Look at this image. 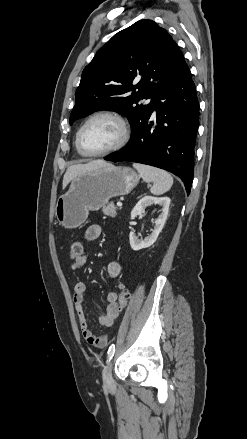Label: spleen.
Masks as SVG:
<instances>
[{
    "mask_svg": "<svg viewBox=\"0 0 247 439\" xmlns=\"http://www.w3.org/2000/svg\"><path fill=\"white\" fill-rule=\"evenodd\" d=\"M133 167L139 172L145 182L153 183L151 193L154 195L164 194L173 185L172 176L162 169L139 163H133Z\"/></svg>",
    "mask_w": 247,
    "mask_h": 439,
    "instance_id": "1",
    "label": "spleen"
}]
</instances>
